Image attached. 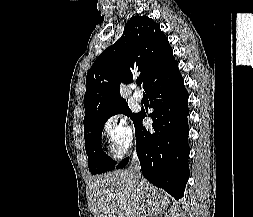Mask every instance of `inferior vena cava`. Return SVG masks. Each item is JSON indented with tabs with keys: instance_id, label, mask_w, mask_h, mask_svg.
Here are the masks:
<instances>
[{
	"instance_id": "1",
	"label": "inferior vena cava",
	"mask_w": 253,
	"mask_h": 217,
	"mask_svg": "<svg viewBox=\"0 0 253 217\" xmlns=\"http://www.w3.org/2000/svg\"><path fill=\"white\" fill-rule=\"evenodd\" d=\"M130 171L134 176L140 177L141 176V168L139 160L136 156V154L133 153L132 159H131V165H130ZM145 217V216H142Z\"/></svg>"
}]
</instances>
